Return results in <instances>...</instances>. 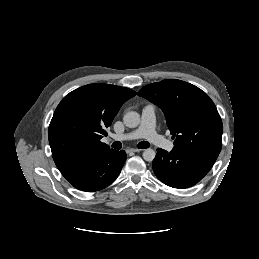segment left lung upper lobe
<instances>
[{
    "mask_svg": "<svg viewBox=\"0 0 259 259\" xmlns=\"http://www.w3.org/2000/svg\"><path fill=\"white\" fill-rule=\"evenodd\" d=\"M159 106L173 135L174 149L220 153L223 125L215 104L198 87L181 80L148 84L139 92Z\"/></svg>",
    "mask_w": 259,
    "mask_h": 259,
    "instance_id": "left-lung-upper-lobe-1",
    "label": "left lung upper lobe"
}]
</instances>
